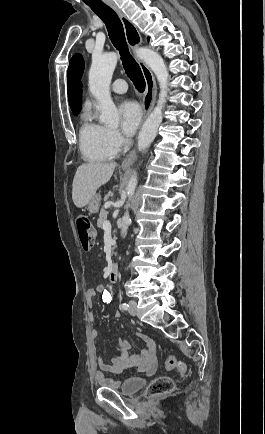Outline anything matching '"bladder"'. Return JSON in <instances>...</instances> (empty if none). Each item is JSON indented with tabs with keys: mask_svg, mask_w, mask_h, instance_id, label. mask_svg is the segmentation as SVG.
I'll return each mask as SVG.
<instances>
[{
	"mask_svg": "<svg viewBox=\"0 0 265 434\" xmlns=\"http://www.w3.org/2000/svg\"><path fill=\"white\" fill-rule=\"evenodd\" d=\"M144 386V381L139 378L126 379L120 386L119 392L127 397L135 396Z\"/></svg>",
	"mask_w": 265,
	"mask_h": 434,
	"instance_id": "obj_1",
	"label": "bladder"
}]
</instances>
